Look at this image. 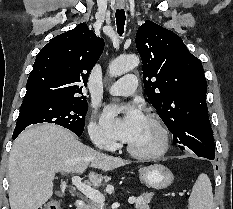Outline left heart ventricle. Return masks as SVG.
<instances>
[{
    "instance_id": "obj_1",
    "label": "left heart ventricle",
    "mask_w": 233,
    "mask_h": 209,
    "mask_svg": "<svg viewBox=\"0 0 233 209\" xmlns=\"http://www.w3.org/2000/svg\"><path fill=\"white\" fill-rule=\"evenodd\" d=\"M160 137L156 127L147 119L135 138L129 144L139 151H151L159 145Z\"/></svg>"
}]
</instances>
